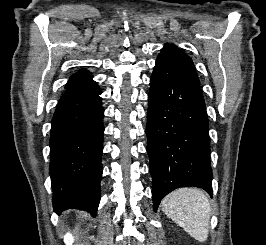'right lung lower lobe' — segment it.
<instances>
[{
	"instance_id": "98d812e1",
	"label": "right lung lower lobe",
	"mask_w": 266,
	"mask_h": 245,
	"mask_svg": "<svg viewBox=\"0 0 266 245\" xmlns=\"http://www.w3.org/2000/svg\"><path fill=\"white\" fill-rule=\"evenodd\" d=\"M100 94L93 80L75 84L66 89L54 112L49 172L56 213L76 208L96 214L104 133Z\"/></svg>"
}]
</instances>
